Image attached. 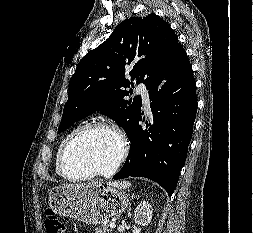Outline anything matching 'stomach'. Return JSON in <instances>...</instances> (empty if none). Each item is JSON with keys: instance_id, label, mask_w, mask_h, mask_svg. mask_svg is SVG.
Masks as SVG:
<instances>
[{"instance_id": "0dacf381", "label": "stomach", "mask_w": 253, "mask_h": 233, "mask_svg": "<svg viewBox=\"0 0 253 233\" xmlns=\"http://www.w3.org/2000/svg\"><path fill=\"white\" fill-rule=\"evenodd\" d=\"M48 202L57 214L90 225L122 214L129 204L122 188L111 184L53 187Z\"/></svg>"}]
</instances>
